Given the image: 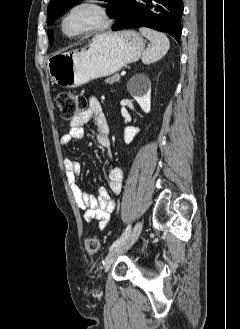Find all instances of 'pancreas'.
<instances>
[{
    "label": "pancreas",
    "instance_id": "cf45deb5",
    "mask_svg": "<svg viewBox=\"0 0 240 329\" xmlns=\"http://www.w3.org/2000/svg\"><path fill=\"white\" fill-rule=\"evenodd\" d=\"M119 80H120V76L118 74H115L111 77L106 78L105 83L113 84L115 82H118Z\"/></svg>",
    "mask_w": 240,
    "mask_h": 329
}]
</instances>
